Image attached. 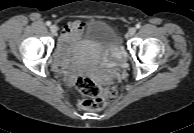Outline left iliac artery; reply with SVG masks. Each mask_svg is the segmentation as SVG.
Returning <instances> with one entry per match:
<instances>
[{
    "label": "left iliac artery",
    "instance_id": "left-iliac-artery-1",
    "mask_svg": "<svg viewBox=\"0 0 194 133\" xmlns=\"http://www.w3.org/2000/svg\"><path fill=\"white\" fill-rule=\"evenodd\" d=\"M141 27V25L138 23L136 24V28L139 29Z\"/></svg>",
    "mask_w": 194,
    "mask_h": 133
}]
</instances>
